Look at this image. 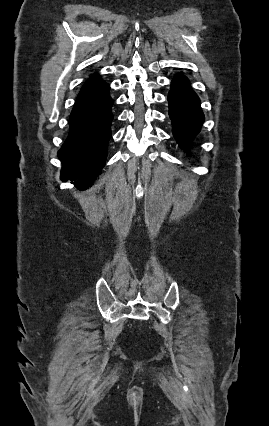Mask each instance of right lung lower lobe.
Masks as SVG:
<instances>
[{"label": "right lung lower lobe", "instance_id": "1", "mask_svg": "<svg viewBox=\"0 0 269 426\" xmlns=\"http://www.w3.org/2000/svg\"><path fill=\"white\" fill-rule=\"evenodd\" d=\"M109 89L98 75L87 80L70 115L69 135L58 152L61 179L76 180L81 189L88 188L105 165L114 103Z\"/></svg>", "mask_w": 269, "mask_h": 426}]
</instances>
